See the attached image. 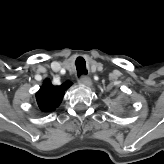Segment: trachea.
Wrapping results in <instances>:
<instances>
[{"label": "trachea", "mask_w": 164, "mask_h": 164, "mask_svg": "<svg viewBox=\"0 0 164 164\" xmlns=\"http://www.w3.org/2000/svg\"><path fill=\"white\" fill-rule=\"evenodd\" d=\"M76 69L78 72V76H80V74H84V75L87 74L86 63L82 57H78L76 59Z\"/></svg>", "instance_id": "obj_1"}]
</instances>
